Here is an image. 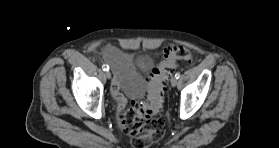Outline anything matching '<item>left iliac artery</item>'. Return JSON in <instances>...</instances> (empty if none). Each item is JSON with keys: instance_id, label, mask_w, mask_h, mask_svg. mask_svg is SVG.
<instances>
[{"instance_id": "left-iliac-artery-1", "label": "left iliac artery", "mask_w": 279, "mask_h": 148, "mask_svg": "<svg viewBox=\"0 0 279 148\" xmlns=\"http://www.w3.org/2000/svg\"><path fill=\"white\" fill-rule=\"evenodd\" d=\"M175 78H176V79H179V78H180V73H179V72H177V73L175 74Z\"/></svg>"}]
</instances>
